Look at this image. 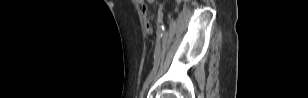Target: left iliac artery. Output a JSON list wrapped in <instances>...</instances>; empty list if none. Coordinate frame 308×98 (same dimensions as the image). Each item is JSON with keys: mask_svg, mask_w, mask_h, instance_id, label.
Listing matches in <instances>:
<instances>
[{"mask_svg": "<svg viewBox=\"0 0 308 98\" xmlns=\"http://www.w3.org/2000/svg\"><path fill=\"white\" fill-rule=\"evenodd\" d=\"M167 25L166 24H160L157 26L158 29V34L156 35V38L160 40L161 36H164L167 33ZM159 43V42H158ZM161 46L157 45L156 46V53L154 55V59L155 61H160V57H161ZM157 67H158V63H155L154 68L152 70V72L150 73V75L148 76V78L146 79L145 83H144V87L146 86V84L149 82L150 78L156 73L157 71Z\"/></svg>", "mask_w": 308, "mask_h": 98, "instance_id": "left-iliac-artery-1", "label": "left iliac artery"}]
</instances>
